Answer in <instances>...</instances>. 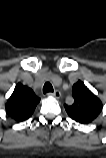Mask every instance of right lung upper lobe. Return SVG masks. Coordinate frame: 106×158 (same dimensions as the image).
I'll return each instance as SVG.
<instances>
[{"mask_svg":"<svg viewBox=\"0 0 106 158\" xmlns=\"http://www.w3.org/2000/svg\"><path fill=\"white\" fill-rule=\"evenodd\" d=\"M40 98L33 90L18 83L5 105L7 115L16 122L27 120L34 112Z\"/></svg>","mask_w":106,"mask_h":158,"instance_id":"1","label":"right lung upper lobe"}]
</instances>
